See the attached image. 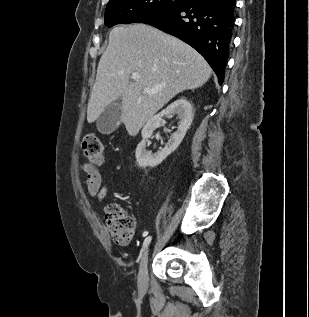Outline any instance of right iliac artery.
<instances>
[{"label": "right iliac artery", "instance_id": "82829eb1", "mask_svg": "<svg viewBox=\"0 0 309 317\" xmlns=\"http://www.w3.org/2000/svg\"><path fill=\"white\" fill-rule=\"evenodd\" d=\"M151 239L152 237L151 236H148L144 242H143V245H142V251L149 245V243L151 242Z\"/></svg>", "mask_w": 309, "mask_h": 317}]
</instances>
